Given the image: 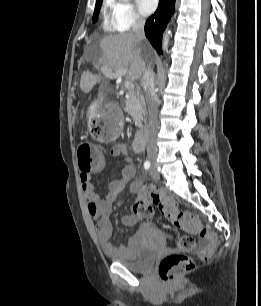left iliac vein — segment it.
Returning <instances> with one entry per match:
<instances>
[{
	"instance_id": "4c4485c4",
	"label": "left iliac vein",
	"mask_w": 261,
	"mask_h": 306,
	"mask_svg": "<svg viewBox=\"0 0 261 306\" xmlns=\"http://www.w3.org/2000/svg\"><path fill=\"white\" fill-rule=\"evenodd\" d=\"M150 175L154 180H159L160 175L159 173L156 171L155 166L153 165L151 170H150Z\"/></svg>"
}]
</instances>
